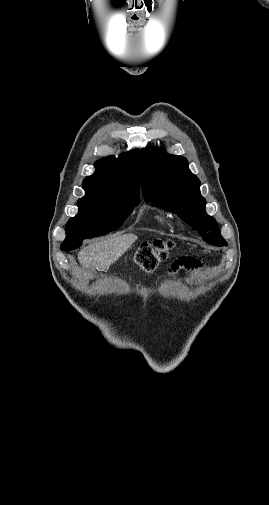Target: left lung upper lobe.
<instances>
[{
  "mask_svg": "<svg viewBox=\"0 0 269 505\" xmlns=\"http://www.w3.org/2000/svg\"><path fill=\"white\" fill-rule=\"evenodd\" d=\"M142 153V192L146 202L177 214L215 246L227 245L215 219L205 212L200 181L188 169L186 158L167 154L158 148Z\"/></svg>",
  "mask_w": 269,
  "mask_h": 505,
  "instance_id": "1",
  "label": "left lung upper lobe"
}]
</instances>
